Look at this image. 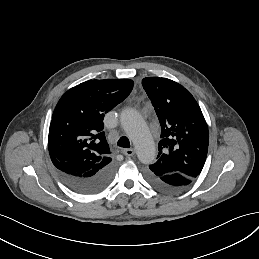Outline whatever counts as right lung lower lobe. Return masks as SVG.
Listing matches in <instances>:
<instances>
[{
    "label": "right lung lower lobe",
    "mask_w": 259,
    "mask_h": 259,
    "mask_svg": "<svg viewBox=\"0 0 259 259\" xmlns=\"http://www.w3.org/2000/svg\"><path fill=\"white\" fill-rule=\"evenodd\" d=\"M62 181L73 191L81 194H94L104 190L111 182L115 164L111 162L90 176H76L57 170Z\"/></svg>",
    "instance_id": "98d812e1"
}]
</instances>
